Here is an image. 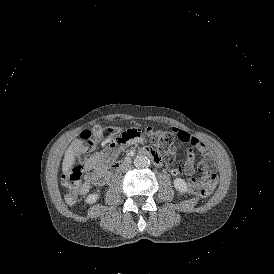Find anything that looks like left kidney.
Wrapping results in <instances>:
<instances>
[{"label":"left kidney","instance_id":"obj_1","mask_svg":"<svg viewBox=\"0 0 274 274\" xmlns=\"http://www.w3.org/2000/svg\"><path fill=\"white\" fill-rule=\"evenodd\" d=\"M174 185H175L176 189H178L179 191H185L186 190V184L180 178L175 180Z\"/></svg>","mask_w":274,"mask_h":274}]
</instances>
